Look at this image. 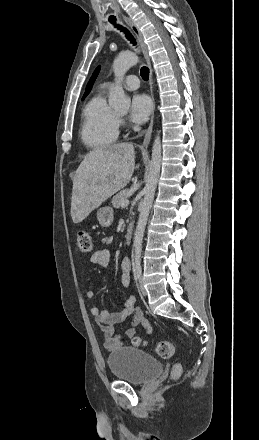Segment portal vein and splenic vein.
<instances>
[{
    "label": "portal vein and splenic vein",
    "instance_id": "obj_1",
    "mask_svg": "<svg viewBox=\"0 0 259 440\" xmlns=\"http://www.w3.org/2000/svg\"><path fill=\"white\" fill-rule=\"evenodd\" d=\"M128 205H129V201L128 200H125V201L121 202V207H123V208L127 207Z\"/></svg>",
    "mask_w": 259,
    "mask_h": 440
}]
</instances>
